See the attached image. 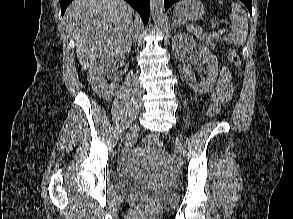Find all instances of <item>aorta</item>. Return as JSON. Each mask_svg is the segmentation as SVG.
Listing matches in <instances>:
<instances>
[{"mask_svg":"<svg viewBox=\"0 0 293 219\" xmlns=\"http://www.w3.org/2000/svg\"><path fill=\"white\" fill-rule=\"evenodd\" d=\"M151 15L156 26L161 27L165 24L164 0H151Z\"/></svg>","mask_w":293,"mask_h":219,"instance_id":"762f6f07","label":"aorta"}]
</instances>
